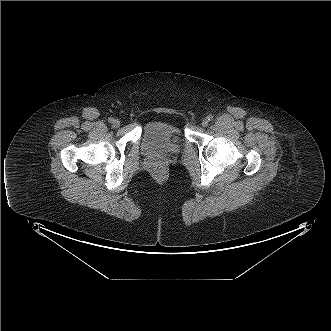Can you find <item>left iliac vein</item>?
Segmentation results:
<instances>
[{
  "instance_id": "obj_1",
  "label": "left iliac vein",
  "mask_w": 331,
  "mask_h": 331,
  "mask_svg": "<svg viewBox=\"0 0 331 331\" xmlns=\"http://www.w3.org/2000/svg\"><path fill=\"white\" fill-rule=\"evenodd\" d=\"M208 123H209V120L205 118V119L202 120L201 124H202L203 127H207Z\"/></svg>"
}]
</instances>
